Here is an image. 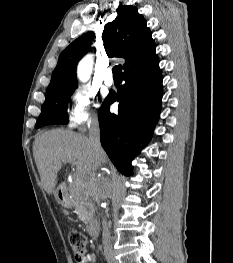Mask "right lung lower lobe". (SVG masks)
Here are the masks:
<instances>
[{"mask_svg": "<svg viewBox=\"0 0 233 263\" xmlns=\"http://www.w3.org/2000/svg\"><path fill=\"white\" fill-rule=\"evenodd\" d=\"M162 74L158 59L123 73L125 84L99 110L100 140L115 167L132 174L131 161L150 141L160 113ZM119 102L118 113L110 104Z\"/></svg>", "mask_w": 233, "mask_h": 263, "instance_id": "1", "label": "right lung lower lobe"}]
</instances>
